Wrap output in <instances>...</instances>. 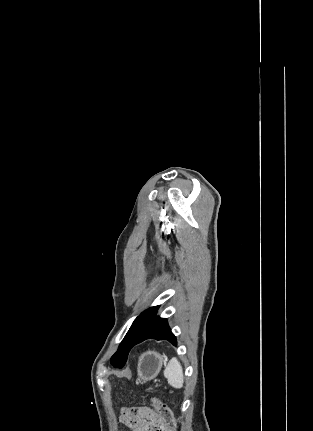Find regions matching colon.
Instances as JSON below:
<instances>
[{
	"label": "colon",
	"instance_id": "1",
	"mask_svg": "<svg viewBox=\"0 0 313 431\" xmlns=\"http://www.w3.org/2000/svg\"><path fill=\"white\" fill-rule=\"evenodd\" d=\"M153 406L158 416L156 431H175L176 423L171 408L159 399H153Z\"/></svg>",
	"mask_w": 313,
	"mask_h": 431
}]
</instances>
